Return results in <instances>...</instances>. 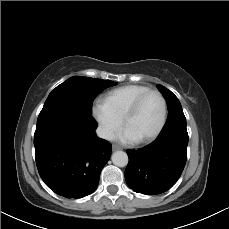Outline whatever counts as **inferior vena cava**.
I'll return each instance as SVG.
<instances>
[{"instance_id":"obj_1","label":"inferior vena cava","mask_w":229,"mask_h":229,"mask_svg":"<svg viewBox=\"0 0 229 229\" xmlns=\"http://www.w3.org/2000/svg\"><path fill=\"white\" fill-rule=\"evenodd\" d=\"M96 134L98 137L105 140H113L114 134L107 128L99 126L96 130Z\"/></svg>"}]
</instances>
